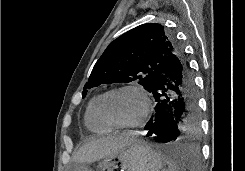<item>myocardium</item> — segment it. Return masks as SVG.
I'll return each instance as SVG.
<instances>
[{"label":"myocardium","instance_id":"1","mask_svg":"<svg viewBox=\"0 0 245 171\" xmlns=\"http://www.w3.org/2000/svg\"><path fill=\"white\" fill-rule=\"evenodd\" d=\"M123 90H133L137 92L143 100V111L140 117L134 122L125 123V124L116 123L112 121L106 115L105 109H104V105H105V101L107 97L113 93L123 91ZM150 109H151V101H150L148 93L141 86L136 85V84H124V85L116 86L114 88L109 89L108 91L104 92L100 96L98 105H97V112H98L100 119L109 127L113 129H121V130L135 129V128L142 126L149 116Z\"/></svg>","mask_w":245,"mask_h":171}]
</instances>
